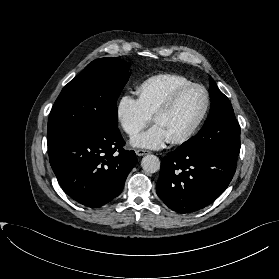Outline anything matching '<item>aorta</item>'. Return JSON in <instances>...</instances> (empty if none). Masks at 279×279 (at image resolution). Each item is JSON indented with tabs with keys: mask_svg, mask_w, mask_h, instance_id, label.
Returning <instances> with one entry per match:
<instances>
[{
	"mask_svg": "<svg viewBox=\"0 0 279 279\" xmlns=\"http://www.w3.org/2000/svg\"><path fill=\"white\" fill-rule=\"evenodd\" d=\"M142 169L147 173H155L160 169V160L155 155H146L141 161Z\"/></svg>",
	"mask_w": 279,
	"mask_h": 279,
	"instance_id": "1",
	"label": "aorta"
}]
</instances>
